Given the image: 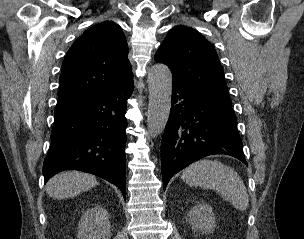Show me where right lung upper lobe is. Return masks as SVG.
I'll return each instance as SVG.
<instances>
[{"mask_svg":"<svg viewBox=\"0 0 304 239\" xmlns=\"http://www.w3.org/2000/svg\"><path fill=\"white\" fill-rule=\"evenodd\" d=\"M133 77L128 46L112 21L86 30L71 46L62 64L55 112L72 108Z\"/></svg>","mask_w":304,"mask_h":239,"instance_id":"obj_1","label":"right lung upper lobe"}]
</instances>
